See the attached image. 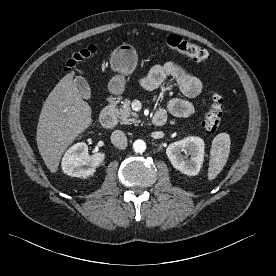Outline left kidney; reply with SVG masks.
Returning <instances> with one entry per match:
<instances>
[{
  "instance_id": "1",
  "label": "left kidney",
  "mask_w": 276,
  "mask_h": 276,
  "mask_svg": "<svg viewBox=\"0 0 276 276\" xmlns=\"http://www.w3.org/2000/svg\"><path fill=\"white\" fill-rule=\"evenodd\" d=\"M204 147L201 138L189 136L170 144L166 154L174 168L186 175L195 176L199 173L204 160ZM182 152L190 155V159H186Z\"/></svg>"
}]
</instances>
